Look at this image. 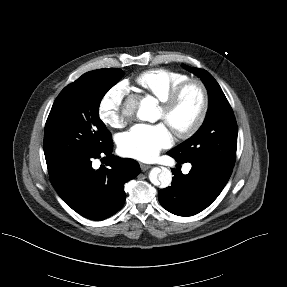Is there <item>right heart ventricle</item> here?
Instances as JSON below:
<instances>
[{
	"label": "right heart ventricle",
	"instance_id": "1",
	"mask_svg": "<svg viewBox=\"0 0 287 287\" xmlns=\"http://www.w3.org/2000/svg\"><path fill=\"white\" fill-rule=\"evenodd\" d=\"M186 79L188 76L179 71L154 69L141 73L135 82L141 90L163 102L171 91Z\"/></svg>",
	"mask_w": 287,
	"mask_h": 287
}]
</instances>
